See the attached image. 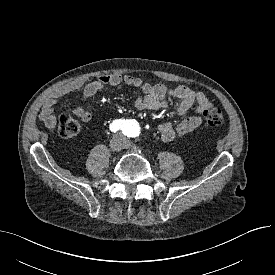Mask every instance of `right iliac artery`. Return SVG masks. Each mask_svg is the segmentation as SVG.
I'll return each instance as SVG.
<instances>
[{
  "mask_svg": "<svg viewBox=\"0 0 275 275\" xmlns=\"http://www.w3.org/2000/svg\"><path fill=\"white\" fill-rule=\"evenodd\" d=\"M125 126H126L125 120L118 119V120H114L110 124L109 128L112 132H116L118 130H124Z\"/></svg>",
  "mask_w": 275,
  "mask_h": 275,
  "instance_id": "1",
  "label": "right iliac artery"
}]
</instances>
